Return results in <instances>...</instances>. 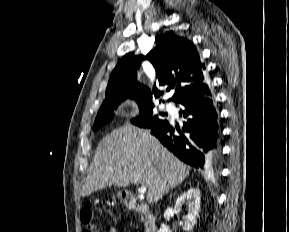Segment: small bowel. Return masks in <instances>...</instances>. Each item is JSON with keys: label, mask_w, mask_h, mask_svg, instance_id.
Here are the masks:
<instances>
[{"label": "small bowel", "mask_w": 289, "mask_h": 232, "mask_svg": "<svg viewBox=\"0 0 289 232\" xmlns=\"http://www.w3.org/2000/svg\"><path fill=\"white\" fill-rule=\"evenodd\" d=\"M109 232H116V230H115L114 228H111V229L109 230Z\"/></svg>", "instance_id": "1"}]
</instances>
